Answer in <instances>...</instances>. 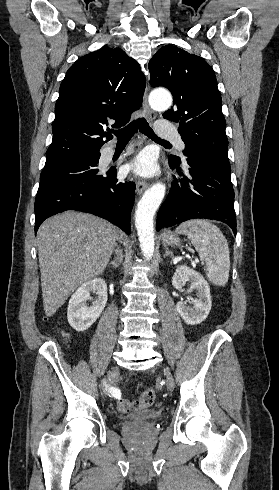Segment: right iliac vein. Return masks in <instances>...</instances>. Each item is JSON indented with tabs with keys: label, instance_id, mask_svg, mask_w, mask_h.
<instances>
[{
	"label": "right iliac vein",
	"instance_id": "right-iliac-vein-1",
	"mask_svg": "<svg viewBox=\"0 0 279 490\" xmlns=\"http://www.w3.org/2000/svg\"><path fill=\"white\" fill-rule=\"evenodd\" d=\"M114 372H116L118 369L116 367L113 368Z\"/></svg>",
	"mask_w": 279,
	"mask_h": 490
}]
</instances>
